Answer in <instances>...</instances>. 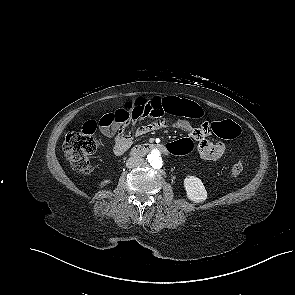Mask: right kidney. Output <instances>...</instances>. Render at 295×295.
<instances>
[{"label":"right kidney","instance_id":"right-kidney-1","mask_svg":"<svg viewBox=\"0 0 295 295\" xmlns=\"http://www.w3.org/2000/svg\"><path fill=\"white\" fill-rule=\"evenodd\" d=\"M108 183H110V180H108V179L104 180V181L101 182L100 186L103 187V186L107 185Z\"/></svg>","mask_w":295,"mask_h":295}]
</instances>
